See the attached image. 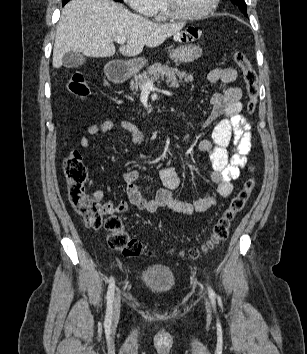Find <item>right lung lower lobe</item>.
Returning <instances> with one entry per match:
<instances>
[{
    "mask_svg": "<svg viewBox=\"0 0 307 354\" xmlns=\"http://www.w3.org/2000/svg\"><path fill=\"white\" fill-rule=\"evenodd\" d=\"M69 0H63V6L68 2Z\"/></svg>",
    "mask_w": 307,
    "mask_h": 354,
    "instance_id": "right-lung-lower-lobe-1",
    "label": "right lung lower lobe"
}]
</instances>
